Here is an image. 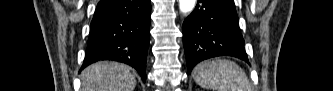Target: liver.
I'll list each match as a JSON object with an SVG mask.
<instances>
[{"instance_id":"obj_1","label":"liver","mask_w":333,"mask_h":91,"mask_svg":"<svg viewBox=\"0 0 333 91\" xmlns=\"http://www.w3.org/2000/svg\"><path fill=\"white\" fill-rule=\"evenodd\" d=\"M135 85L132 68L117 62H97L81 72V91H133Z\"/></svg>"}]
</instances>
